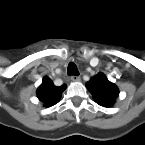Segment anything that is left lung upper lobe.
I'll list each match as a JSON object with an SVG mask.
<instances>
[{
	"label": "left lung upper lobe",
	"instance_id": "obj_1",
	"mask_svg": "<svg viewBox=\"0 0 145 145\" xmlns=\"http://www.w3.org/2000/svg\"><path fill=\"white\" fill-rule=\"evenodd\" d=\"M86 87L95 101L103 107H111L119 95L115 84L111 83L103 73H99L87 82Z\"/></svg>",
	"mask_w": 145,
	"mask_h": 145
}]
</instances>
